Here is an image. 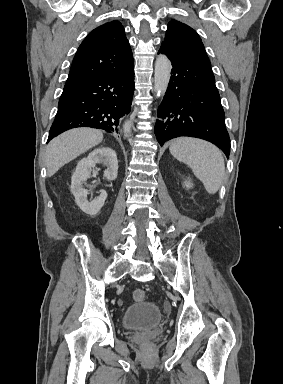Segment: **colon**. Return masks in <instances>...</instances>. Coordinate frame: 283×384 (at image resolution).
<instances>
[{"mask_svg":"<svg viewBox=\"0 0 283 384\" xmlns=\"http://www.w3.org/2000/svg\"><path fill=\"white\" fill-rule=\"evenodd\" d=\"M146 297V292L143 289H136L133 292V299L135 302H144Z\"/></svg>","mask_w":283,"mask_h":384,"instance_id":"5ec220e1","label":"colon"}]
</instances>
